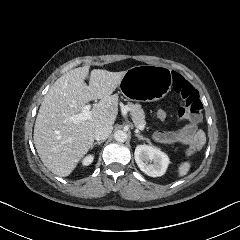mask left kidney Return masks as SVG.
<instances>
[{
  "instance_id": "obj_1",
  "label": "left kidney",
  "mask_w": 240,
  "mask_h": 240,
  "mask_svg": "<svg viewBox=\"0 0 240 240\" xmlns=\"http://www.w3.org/2000/svg\"><path fill=\"white\" fill-rule=\"evenodd\" d=\"M134 157L141 171L155 178L164 176L171 164L168 153L149 144L136 145Z\"/></svg>"
}]
</instances>
